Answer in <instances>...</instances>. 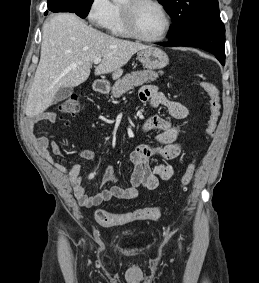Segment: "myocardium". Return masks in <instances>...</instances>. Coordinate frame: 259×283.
I'll list each match as a JSON object with an SVG mask.
<instances>
[{
	"label": "myocardium",
	"mask_w": 259,
	"mask_h": 283,
	"mask_svg": "<svg viewBox=\"0 0 259 283\" xmlns=\"http://www.w3.org/2000/svg\"><path fill=\"white\" fill-rule=\"evenodd\" d=\"M143 3H151V4L156 5L163 12L165 16L166 28L163 34L160 35L159 37L145 36L138 29L137 22H136V10ZM121 10H122L124 24H125L127 31L129 32L131 36L137 39H140L146 42H159V41L164 40L168 36L171 30L172 18L166 6L159 0H125L121 4Z\"/></svg>",
	"instance_id": "obj_1"
}]
</instances>
